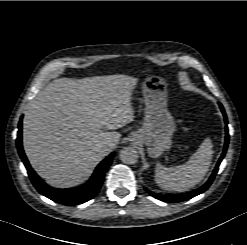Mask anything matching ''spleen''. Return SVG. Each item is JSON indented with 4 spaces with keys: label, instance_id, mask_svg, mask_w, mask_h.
<instances>
[{
    "label": "spleen",
    "instance_id": "spleen-1",
    "mask_svg": "<svg viewBox=\"0 0 247 245\" xmlns=\"http://www.w3.org/2000/svg\"><path fill=\"white\" fill-rule=\"evenodd\" d=\"M212 148L211 140L206 138L186 163L171 168L157 163L156 183L169 192H185L195 187L209 170L213 155Z\"/></svg>",
    "mask_w": 247,
    "mask_h": 245
}]
</instances>
